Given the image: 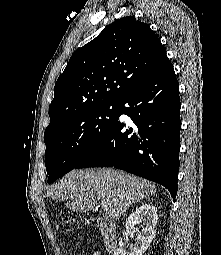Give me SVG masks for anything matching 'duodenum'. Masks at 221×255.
I'll return each instance as SVG.
<instances>
[{"instance_id": "duodenum-1", "label": "duodenum", "mask_w": 221, "mask_h": 255, "mask_svg": "<svg viewBox=\"0 0 221 255\" xmlns=\"http://www.w3.org/2000/svg\"><path fill=\"white\" fill-rule=\"evenodd\" d=\"M98 224L105 248L112 251L117 246V232L113 221L108 217H97Z\"/></svg>"}]
</instances>
